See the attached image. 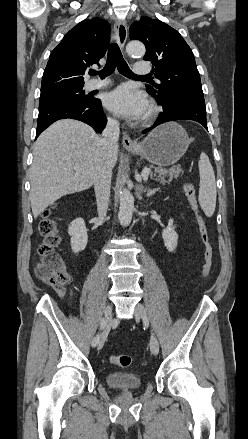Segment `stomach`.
Segmentation results:
<instances>
[{
    "instance_id": "obj_1",
    "label": "stomach",
    "mask_w": 248,
    "mask_h": 439,
    "mask_svg": "<svg viewBox=\"0 0 248 439\" xmlns=\"http://www.w3.org/2000/svg\"><path fill=\"white\" fill-rule=\"evenodd\" d=\"M190 140L185 129L175 122L165 123L129 151L150 163L166 167L176 163L187 151Z\"/></svg>"
}]
</instances>
